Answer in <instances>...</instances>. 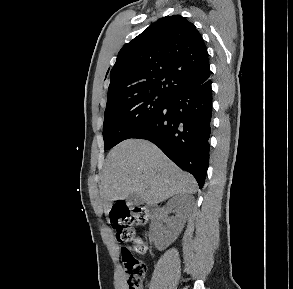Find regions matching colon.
Listing matches in <instances>:
<instances>
[{"label":"colon","instance_id":"colon-1","mask_svg":"<svg viewBox=\"0 0 293 289\" xmlns=\"http://www.w3.org/2000/svg\"><path fill=\"white\" fill-rule=\"evenodd\" d=\"M147 211L145 207L116 205L110 215V222L115 231L118 241L132 243V247H124L121 250L125 264L127 289H142L143 280L147 272L146 264L137 259L134 253L145 254L146 243L135 237L132 225H142L147 221Z\"/></svg>","mask_w":293,"mask_h":289}]
</instances>
